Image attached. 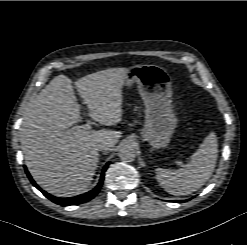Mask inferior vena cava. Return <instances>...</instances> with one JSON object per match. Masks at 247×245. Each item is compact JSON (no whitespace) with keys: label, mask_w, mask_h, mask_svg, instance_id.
Returning <instances> with one entry per match:
<instances>
[{"label":"inferior vena cava","mask_w":247,"mask_h":245,"mask_svg":"<svg viewBox=\"0 0 247 245\" xmlns=\"http://www.w3.org/2000/svg\"><path fill=\"white\" fill-rule=\"evenodd\" d=\"M111 147H112V144L110 142H102L100 145H99V150H102L104 152H107L109 150H111Z\"/></svg>","instance_id":"602c4592"}]
</instances>
